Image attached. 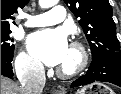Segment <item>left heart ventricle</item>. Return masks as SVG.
I'll list each match as a JSON object with an SVG mask.
<instances>
[{
    "label": "left heart ventricle",
    "mask_w": 121,
    "mask_h": 94,
    "mask_svg": "<svg viewBox=\"0 0 121 94\" xmlns=\"http://www.w3.org/2000/svg\"><path fill=\"white\" fill-rule=\"evenodd\" d=\"M78 57L76 52L69 48L68 53L63 60V62L59 65L61 68H71L77 63Z\"/></svg>",
    "instance_id": "obj_1"
}]
</instances>
